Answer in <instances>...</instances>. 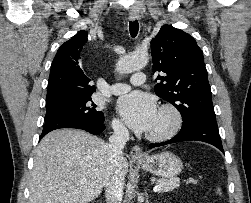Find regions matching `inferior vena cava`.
I'll return each instance as SVG.
<instances>
[{
  "label": "inferior vena cava",
  "instance_id": "1",
  "mask_svg": "<svg viewBox=\"0 0 251 203\" xmlns=\"http://www.w3.org/2000/svg\"><path fill=\"white\" fill-rule=\"evenodd\" d=\"M112 128L114 133L109 138L110 143L108 146L111 170L104 181L105 197L107 203H121L124 186L122 172L123 149L129 140V131L119 122L113 123Z\"/></svg>",
  "mask_w": 251,
  "mask_h": 203
}]
</instances>
